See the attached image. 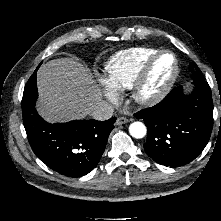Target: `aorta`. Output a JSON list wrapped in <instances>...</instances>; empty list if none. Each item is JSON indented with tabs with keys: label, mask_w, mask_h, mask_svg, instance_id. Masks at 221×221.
<instances>
[{
	"label": "aorta",
	"mask_w": 221,
	"mask_h": 221,
	"mask_svg": "<svg viewBox=\"0 0 221 221\" xmlns=\"http://www.w3.org/2000/svg\"><path fill=\"white\" fill-rule=\"evenodd\" d=\"M147 129L142 122H133L129 126V133L134 138H143L146 135Z\"/></svg>",
	"instance_id": "762f6f07"
}]
</instances>
